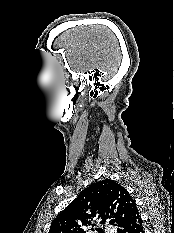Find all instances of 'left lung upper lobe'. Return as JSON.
<instances>
[{"mask_svg":"<svg viewBox=\"0 0 174 233\" xmlns=\"http://www.w3.org/2000/svg\"><path fill=\"white\" fill-rule=\"evenodd\" d=\"M138 211L128 191L105 179L82 190L77 198L52 221L49 233H86L94 222L119 227ZM103 233L102 229H97Z\"/></svg>","mask_w":174,"mask_h":233,"instance_id":"1","label":"left lung upper lobe"}]
</instances>
